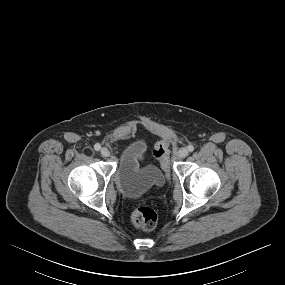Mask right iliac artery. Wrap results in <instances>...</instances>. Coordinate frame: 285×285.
Wrapping results in <instances>:
<instances>
[{"mask_svg":"<svg viewBox=\"0 0 285 285\" xmlns=\"http://www.w3.org/2000/svg\"><path fill=\"white\" fill-rule=\"evenodd\" d=\"M94 149H95L96 151H99V150L101 149V145H100L99 143H96V144L94 145Z\"/></svg>","mask_w":285,"mask_h":285,"instance_id":"right-iliac-artery-1","label":"right iliac artery"}]
</instances>
